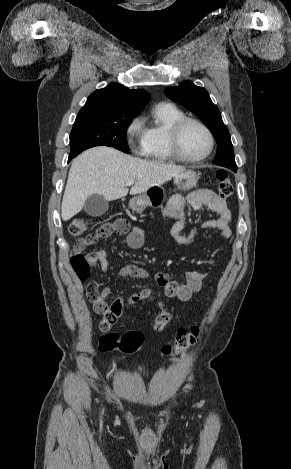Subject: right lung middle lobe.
Here are the masks:
<instances>
[{
	"instance_id": "right-lung-middle-lobe-1",
	"label": "right lung middle lobe",
	"mask_w": 291,
	"mask_h": 469,
	"mask_svg": "<svg viewBox=\"0 0 291 469\" xmlns=\"http://www.w3.org/2000/svg\"><path fill=\"white\" fill-rule=\"evenodd\" d=\"M133 118L78 115L70 134L69 157L74 158L85 149L98 145L127 153L126 133Z\"/></svg>"
}]
</instances>
